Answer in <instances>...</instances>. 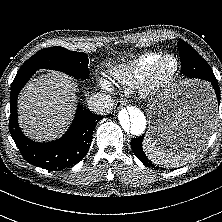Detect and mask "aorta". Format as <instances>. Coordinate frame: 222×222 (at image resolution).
Wrapping results in <instances>:
<instances>
[{
	"instance_id": "762f6f07",
	"label": "aorta",
	"mask_w": 222,
	"mask_h": 222,
	"mask_svg": "<svg viewBox=\"0 0 222 222\" xmlns=\"http://www.w3.org/2000/svg\"><path fill=\"white\" fill-rule=\"evenodd\" d=\"M122 131L133 136L141 135L146 128V117L143 111L136 106H128L118 114Z\"/></svg>"
}]
</instances>
